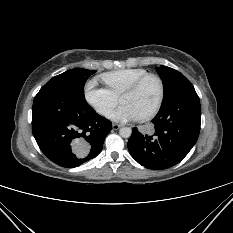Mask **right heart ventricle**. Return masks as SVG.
Wrapping results in <instances>:
<instances>
[{"instance_id":"obj_1","label":"right heart ventricle","mask_w":233,"mask_h":233,"mask_svg":"<svg viewBox=\"0 0 233 233\" xmlns=\"http://www.w3.org/2000/svg\"><path fill=\"white\" fill-rule=\"evenodd\" d=\"M148 73L149 71L143 68H127L104 73L100 78L118 97L129 85Z\"/></svg>"}]
</instances>
